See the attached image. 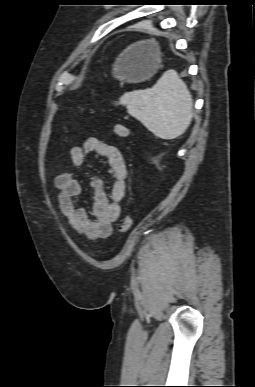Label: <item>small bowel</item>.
I'll use <instances>...</instances> for the list:
<instances>
[{
	"instance_id": "obj_1",
	"label": "small bowel",
	"mask_w": 255,
	"mask_h": 387,
	"mask_svg": "<svg viewBox=\"0 0 255 387\" xmlns=\"http://www.w3.org/2000/svg\"><path fill=\"white\" fill-rule=\"evenodd\" d=\"M88 153L105 159L108 173L113 183L108 193L102 179L93 177L91 181L92 205L89 211L81 207L78 198L82 193L80 182L68 172L55 177L58 189V204L69 225L79 234L94 240L106 238L112 233L113 223L121 213V202L126 193L128 170L120 150L98 138H88L83 145L70 149L72 163L80 167Z\"/></svg>"
}]
</instances>
